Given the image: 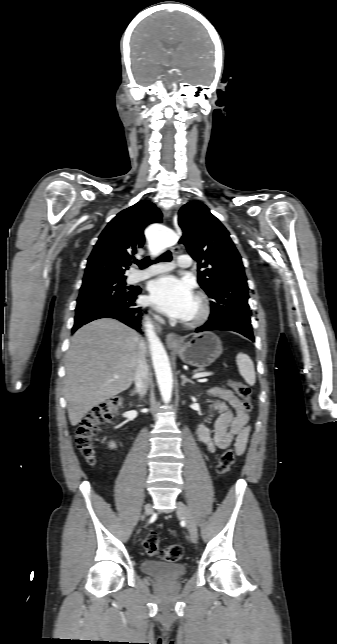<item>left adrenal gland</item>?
I'll use <instances>...</instances> for the list:
<instances>
[{
    "mask_svg": "<svg viewBox=\"0 0 337 644\" xmlns=\"http://www.w3.org/2000/svg\"><path fill=\"white\" fill-rule=\"evenodd\" d=\"M181 379H182V382H181V385H182V386H184L186 383L194 384V382H193L192 380L188 379V378L185 376V374H182V375H181Z\"/></svg>",
    "mask_w": 337,
    "mask_h": 644,
    "instance_id": "a2214340",
    "label": "left adrenal gland"
}]
</instances>
